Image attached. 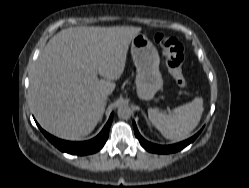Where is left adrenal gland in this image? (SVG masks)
Masks as SVG:
<instances>
[{
    "label": "left adrenal gland",
    "mask_w": 249,
    "mask_h": 188,
    "mask_svg": "<svg viewBox=\"0 0 249 188\" xmlns=\"http://www.w3.org/2000/svg\"><path fill=\"white\" fill-rule=\"evenodd\" d=\"M142 113H143V115H144V117H145L146 121L148 122V120H147V117H146L145 113H144V112H142Z\"/></svg>",
    "instance_id": "1"
}]
</instances>
